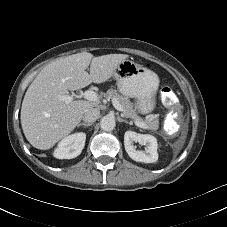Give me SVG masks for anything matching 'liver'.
<instances>
[{"mask_svg": "<svg viewBox=\"0 0 227 227\" xmlns=\"http://www.w3.org/2000/svg\"><path fill=\"white\" fill-rule=\"evenodd\" d=\"M128 57L126 54L94 57L81 52L46 65L28 87L22 102L21 125L29 143L37 149L48 150L70 134L85 111L98 102L75 100L66 104L59 96L92 82L108 81ZM89 66L90 73L86 71Z\"/></svg>", "mask_w": 227, "mask_h": 227, "instance_id": "1", "label": "liver"}]
</instances>
